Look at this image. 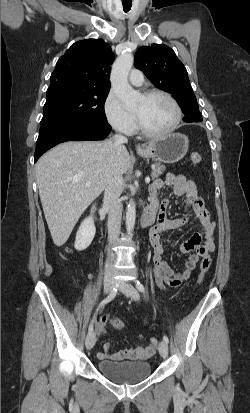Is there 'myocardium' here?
Segmentation results:
<instances>
[{
	"mask_svg": "<svg viewBox=\"0 0 250 413\" xmlns=\"http://www.w3.org/2000/svg\"><path fill=\"white\" fill-rule=\"evenodd\" d=\"M163 96L166 99H168L171 104L173 105L175 112H176V118L173 122V124L165 131L162 132H152L150 130H148L145 125L142 122V119L140 118V116L138 114L135 113L136 116V121H137V126L138 129L140 131V133L142 135H144L145 137L148 138H162V137H166L168 135H170L171 133H173L179 126L181 120H182V110L181 107L179 105V103L177 102V100L168 92L164 91V90H160V89H151V90H147L143 97L144 98H151L153 96Z\"/></svg>",
	"mask_w": 250,
	"mask_h": 413,
	"instance_id": "f54148a6",
	"label": "myocardium"
}]
</instances>
